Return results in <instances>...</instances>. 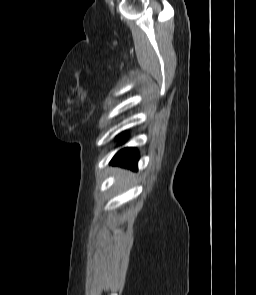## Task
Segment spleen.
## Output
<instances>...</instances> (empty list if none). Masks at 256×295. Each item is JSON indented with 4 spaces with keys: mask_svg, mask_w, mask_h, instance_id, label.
Wrapping results in <instances>:
<instances>
[{
    "mask_svg": "<svg viewBox=\"0 0 256 295\" xmlns=\"http://www.w3.org/2000/svg\"><path fill=\"white\" fill-rule=\"evenodd\" d=\"M131 176H123L122 175V177H121V179H120V184L121 185H124V184H126L129 180H131Z\"/></svg>",
    "mask_w": 256,
    "mask_h": 295,
    "instance_id": "1",
    "label": "spleen"
}]
</instances>
